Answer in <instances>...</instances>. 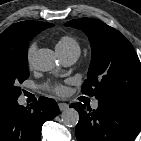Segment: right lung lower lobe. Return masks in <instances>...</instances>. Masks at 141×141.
Listing matches in <instances>:
<instances>
[{
	"label": "right lung lower lobe",
	"mask_w": 141,
	"mask_h": 141,
	"mask_svg": "<svg viewBox=\"0 0 141 141\" xmlns=\"http://www.w3.org/2000/svg\"><path fill=\"white\" fill-rule=\"evenodd\" d=\"M59 113L57 103L46 97L29 107L16 101L0 104V141H41L44 122Z\"/></svg>",
	"instance_id": "obj_1"
}]
</instances>
